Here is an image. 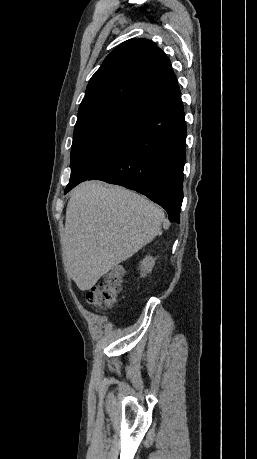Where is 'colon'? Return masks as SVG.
Here are the masks:
<instances>
[{"label":"colon","mask_w":257,"mask_h":459,"mask_svg":"<svg viewBox=\"0 0 257 459\" xmlns=\"http://www.w3.org/2000/svg\"><path fill=\"white\" fill-rule=\"evenodd\" d=\"M122 281V270L120 268L113 269L106 275L104 282L87 291V302L98 310L114 306L122 289Z\"/></svg>","instance_id":"5ec220e1"}]
</instances>
